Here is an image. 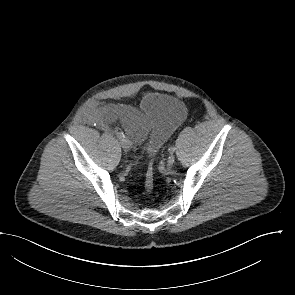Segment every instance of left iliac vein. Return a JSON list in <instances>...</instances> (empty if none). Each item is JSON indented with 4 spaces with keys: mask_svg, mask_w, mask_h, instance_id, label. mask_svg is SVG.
Returning a JSON list of instances; mask_svg holds the SVG:
<instances>
[{
    "mask_svg": "<svg viewBox=\"0 0 295 295\" xmlns=\"http://www.w3.org/2000/svg\"><path fill=\"white\" fill-rule=\"evenodd\" d=\"M175 162V156L174 154H170L169 157H168V160H167V164L168 166H172Z\"/></svg>",
    "mask_w": 295,
    "mask_h": 295,
    "instance_id": "4c4485c4",
    "label": "left iliac vein"
}]
</instances>
